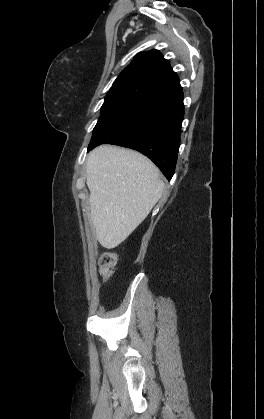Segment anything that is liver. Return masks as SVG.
<instances>
[{
	"label": "liver",
	"instance_id": "obj_1",
	"mask_svg": "<svg viewBox=\"0 0 264 419\" xmlns=\"http://www.w3.org/2000/svg\"><path fill=\"white\" fill-rule=\"evenodd\" d=\"M92 226L107 249L122 243L162 196L159 169L147 157L125 148L102 145L87 157Z\"/></svg>",
	"mask_w": 264,
	"mask_h": 419
}]
</instances>
